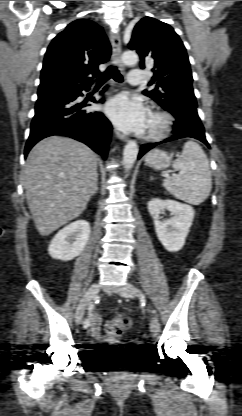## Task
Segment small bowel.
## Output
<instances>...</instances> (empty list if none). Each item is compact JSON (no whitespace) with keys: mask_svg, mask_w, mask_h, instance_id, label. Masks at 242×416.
I'll list each match as a JSON object with an SVG mask.
<instances>
[{"mask_svg":"<svg viewBox=\"0 0 242 416\" xmlns=\"http://www.w3.org/2000/svg\"><path fill=\"white\" fill-rule=\"evenodd\" d=\"M91 320V335L94 338L100 339L102 341H109L107 337L100 336V317L99 315L93 313L90 315Z\"/></svg>","mask_w":242,"mask_h":416,"instance_id":"small-bowel-1","label":"small bowel"}]
</instances>
